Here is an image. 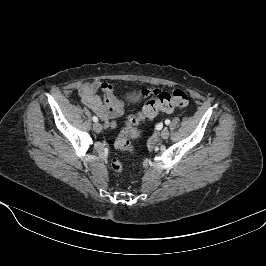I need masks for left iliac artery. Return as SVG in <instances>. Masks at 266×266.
I'll return each instance as SVG.
<instances>
[{
  "label": "left iliac artery",
  "mask_w": 266,
  "mask_h": 266,
  "mask_svg": "<svg viewBox=\"0 0 266 266\" xmlns=\"http://www.w3.org/2000/svg\"><path fill=\"white\" fill-rule=\"evenodd\" d=\"M165 124H166V125H169V124H170V120H168V119L165 120Z\"/></svg>",
  "instance_id": "1"
}]
</instances>
